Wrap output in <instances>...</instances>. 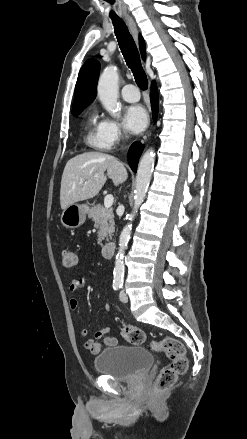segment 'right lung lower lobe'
I'll use <instances>...</instances> for the list:
<instances>
[{
    "label": "right lung lower lobe",
    "instance_id": "right-lung-lower-lobe-1",
    "mask_svg": "<svg viewBox=\"0 0 247 439\" xmlns=\"http://www.w3.org/2000/svg\"><path fill=\"white\" fill-rule=\"evenodd\" d=\"M158 97L159 95L157 92V87L155 82H153L151 87V105L154 120H156L158 115ZM142 151L143 145L139 142H134L129 149V153L127 155L128 163L134 172L137 170L138 160Z\"/></svg>",
    "mask_w": 247,
    "mask_h": 439
}]
</instances>
